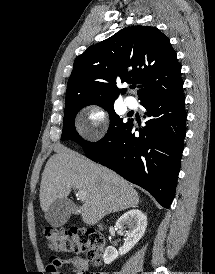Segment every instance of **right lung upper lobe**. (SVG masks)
Segmentation results:
<instances>
[{
	"label": "right lung upper lobe",
	"instance_id": "cb5924a9",
	"mask_svg": "<svg viewBox=\"0 0 215 274\" xmlns=\"http://www.w3.org/2000/svg\"><path fill=\"white\" fill-rule=\"evenodd\" d=\"M140 84L141 103L183 89L181 66L170 40L149 26L124 28L90 46L74 61L65 106L80 102H114L126 89L116 84Z\"/></svg>",
	"mask_w": 215,
	"mask_h": 274
}]
</instances>
